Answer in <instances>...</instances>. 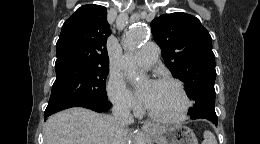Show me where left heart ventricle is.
Returning <instances> with one entry per match:
<instances>
[{
	"label": "left heart ventricle",
	"mask_w": 260,
	"mask_h": 144,
	"mask_svg": "<svg viewBox=\"0 0 260 144\" xmlns=\"http://www.w3.org/2000/svg\"><path fill=\"white\" fill-rule=\"evenodd\" d=\"M147 106L158 114L174 116L182 110L183 99L174 86L156 82Z\"/></svg>",
	"instance_id": "left-heart-ventricle-1"
}]
</instances>
